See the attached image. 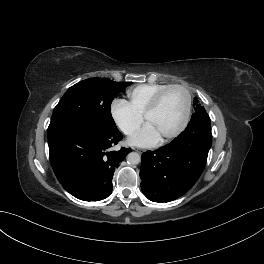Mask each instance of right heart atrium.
<instances>
[{
	"label": "right heart atrium",
	"mask_w": 264,
	"mask_h": 264,
	"mask_svg": "<svg viewBox=\"0 0 264 264\" xmlns=\"http://www.w3.org/2000/svg\"><path fill=\"white\" fill-rule=\"evenodd\" d=\"M111 117L118 129L125 135H132L142 123V116L122 99H115L110 108Z\"/></svg>",
	"instance_id": "1"
}]
</instances>
